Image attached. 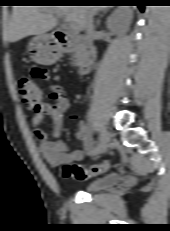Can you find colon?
<instances>
[{
    "label": "colon",
    "mask_w": 170,
    "mask_h": 231,
    "mask_svg": "<svg viewBox=\"0 0 170 231\" xmlns=\"http://www.w3.org/2000/svg\"><path fill=\"white\" fill-rule=\"evenodd\" d=\"M19 94L27 108L35 112L41 105V91L38 85L29 77H21L17 83ZM109 168L108 161H102L90 167L79 164L67 163L62 166V174L65 178L86 180L90 177L104 173Z\"/></svg>",
    "instance_id": "5ec220e1"
}]
</instances>
